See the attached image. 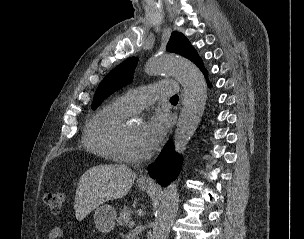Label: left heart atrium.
I'll use <instances>...</instances> for the list:
<instances>
[{
	"label": "left heart atrium",
	"instance_id": "1",
	"mask_svg": "<svg viewBox=\"0 0 304 239\" xmlns=\"http://www.w3.org/2000/svg\"><path fill=\"white\" fill-rule=\"evenodd\" d=\"M169 120L165 112L157 110L144 126L140 143L145 153L154 150L162 141L168 129Z\"/></svg>",
	"mask_w": 304,
	"mask_h": 239
}]
</instances>
